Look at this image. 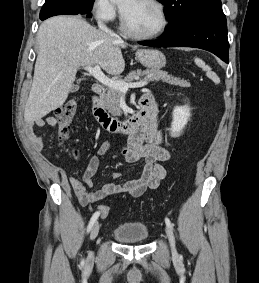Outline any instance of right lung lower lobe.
Here are the masks:
<instances>
[{"label": "right lung lower lobe", "mask_w": 259, "mask_h": 283, "mask_svg": "<svg viewBox=\"0 0 259 283\" xmlns=\"http://www.w3.org/2000/svg\"><path fill=\"white\" fill-rule=\"evenodd\" d=\"M92 5L87 0H46L40 11V20L55 15L83 14L91 17Z\"/></svg>", "instance_id": "obj_1"}]
</instances>
